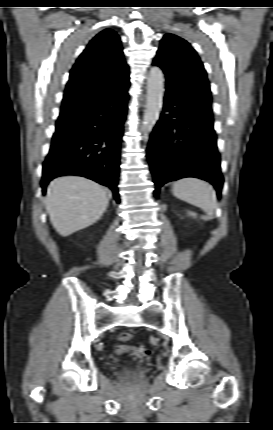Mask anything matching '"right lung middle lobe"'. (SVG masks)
<instances>
[{
    "label": "right lung middle lobe",
    "instance_id": "obj_1",
    "mask_svg": "<svg viewBox=\"0 0 273 430\" xmlns=\"http://www.w3.org/2000/svg\"><path fill=\"white\" fill-rule=\"evenodd\" d=\"M77 115L78 114H73V113H61L59 116V119L56 123V126H60V125H63L65 123L72 121L73 119H75V117Z\"/></svg>",
    "mask_w": 273,
    "mask_h": 430
}]
</instances>
